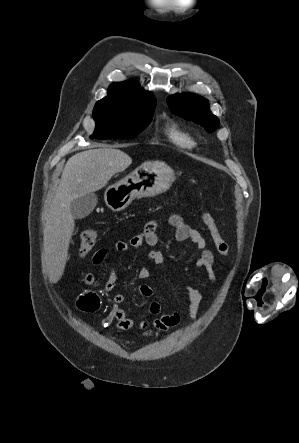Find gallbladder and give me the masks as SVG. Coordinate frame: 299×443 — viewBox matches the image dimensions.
I'll use <instances>...</instances> for the list:
<instances>
[{"label":"gallbladder","mask_w":299,"mask_h":443,"mask_svg":"<svg viewBox=\"0 0 299 443\" xmlns=\"http://www.w3.org/2000/svg\"><path fill=\"white\" fill-rule=\"evenodd\" d=\"M95 193H88L74 199L70 205V211L74 219H83L90 215L97 204Z\"/></svg>","instance_id":"gallbladder-1"}]
</instances>
